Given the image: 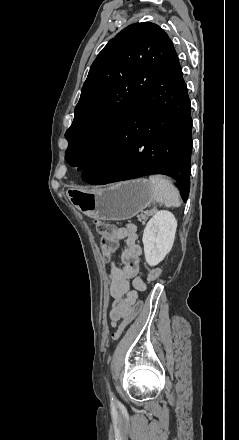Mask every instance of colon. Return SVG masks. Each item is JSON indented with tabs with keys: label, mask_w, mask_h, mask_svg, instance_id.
I'll use <instances>...</instances> for the list:
<instances>
[{
	"label": "colon",
	"mask_w": 239,
	"mask_h": 440,
	"mask_svg": "<svg viewBox=\"0 0 239 440\" xmlns=\"http://www.w3.org/2000/svg\"><path fill=\"white\" fill-rule=\"evenodd\" d=\"M94 225L98 235L100 236L103 254L106 257H109L116 244V238H115L116 228L114 225L102 220H95ZM161 274H162V269L155 268L148 274L147 280L149 282L154 281ZM141 310H142V302H137L134 305L130 315L125 317V319L119 325L116 332L113 334L114 341H118L120 339L127 326L136 318V316L140 313Z\"/></svg>",
	"instance_id": "colon-1"
}]
</instances>
